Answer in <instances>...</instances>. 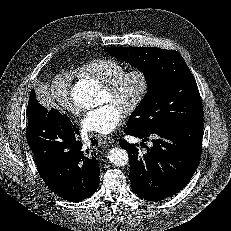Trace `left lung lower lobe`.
Instances as JSON below:
<instances>
[{
	"label": "left lung lower lobe",
	"mask_w": 231,
	"mask_h": 231,
	"mask_svg": "<svg viewBox=\"0 0 231 231\" xmlns=\"http://www.w3.org/2000/svg\"><path fill=\"white\" fill-rule=\"evenodd\" d=\"M128 135L152 140L153 146L140 155L135 145L121 141L130 156V181L141 198L158 201L179 192L190 181L199 165L202 151L203 121L172 129L134 131L125 128Z\"/></svg>",
	"instance_id": "left-lung-lower-lobe-1"
}]
</instances>
